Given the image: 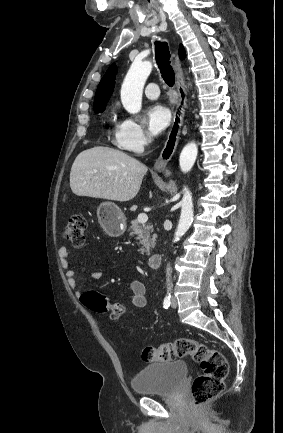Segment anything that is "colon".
<instances>
[{"instance_id": "5ec220e1", "label": "colon", "mask_w": 283, "mask_h": 433, "mask_svg": "<svg viewBox=\"0 0 283 433\" xmlns=\"http://www.w3.org/2000/svg\"><path fill=\"white\" fill-rule=\"evenodd\" d=\"M63 235L74 247H81L86 242V220L80 214L69 218ZM82 304L99 314H109L113 320L119 319L124 308L120 304H110L104 296L96 291H89L81 296ZM186 356L192 357L202 370L192 384L193 402L204 405L219 395L224 389V381L229 371L226 357L217 349L187 338H178L158 346H147L142 351L146 362L170 361Z\"/></svg>"}]
</instances>
